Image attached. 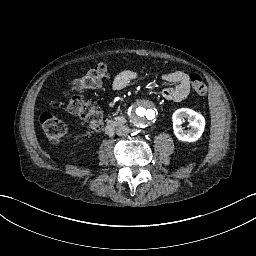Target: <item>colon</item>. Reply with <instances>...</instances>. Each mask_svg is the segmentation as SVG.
I'll return each mask as SVG.
<instances>
[{
  "instance_id": "5ec220e1",
  "label": "colon",
  "mask_w": 256,
  "mask_h": 256,
  "mask_svg": "<svg viewBox=\"0 0 256 256\" xmlns=\"http://www.w3.org/2000/svg\"><path fill=\"white\" fill-rule=\"evenodd\" d=\"M107 77V65L98 63L74 81L73 89L78 92L96 89L101 86ZM189 79L193 92L198 96H204L207 92V85L204 78L200 74L192 72L189 75ZM66 102L69 112L81 119V128L86 131H94L101 128L102 115L94 107L92 102L80 97L68 98ZM40 120L44 133L51 142L59 143L66 139L69 127L65 120L57 118L51 113H43Z\"/></svg>"
}]
</instances>
